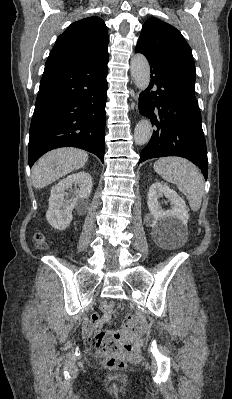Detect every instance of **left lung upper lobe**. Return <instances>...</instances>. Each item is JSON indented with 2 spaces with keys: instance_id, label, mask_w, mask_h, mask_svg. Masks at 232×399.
Masks as SVG:
<instances>
[{
  "instance_id": "5c2ea615",
  "label": "left lung upper lobe",
  "mask_w": 232,
  "mask_h": 399,
  "mask_svg": "<svg viewBox=\"0 0 232 399\" xmlns=\"http://www.w3.org/2000/svg\"><path fill=\"white\" fill-rule=\"evenodd\" d=\"M135 49L159 61L196 99V71L192 51L176 28L154 17L148 19L142 27Z\"/></svg>"
}]
</instances>
